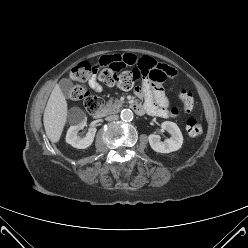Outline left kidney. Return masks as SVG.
I'll return each instance as SVG.
<instances>
[{
  "mask_svg": "<svg viewBox=\"0 0 248 248\" xmlns=\"http://www.w3.org/2000/svg\"><path fill=\"white\" fill-rule=\"evenodd\" d=\"M161 127L171 134V137L161 141L159 135L151 134L149 135V144L151 148L159 153H170L177 151L181 148L183 143L182 133L174 122L165 121L162 122Z\"/></svg>",
  "mask_w": 248,
  "mask_h": 248,
  "instance_id": "left-kidney-1",
  "label": "left kidney"
}]
</instances>
